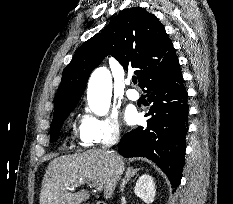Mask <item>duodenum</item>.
<instances>
[{"label": "duodenum", "instance_id": "obj_1", "mask_svg": "<svg viewBox=\"0 0 233 204\" xmlns=\"http://www.w3.org/2000/svg\"><path fill=\"white\" fill-rule=\"evenodd\" d=\"M95 204H106V203H104V202H96Z\"/></svg>", "mask_w": 233, "mask_h": 204}]
</instances>
